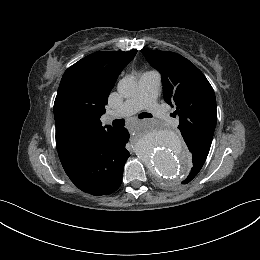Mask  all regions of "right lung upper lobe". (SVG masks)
I'll list each match as a JSON object with an SVG mask.
<instances>
[{
    "label": "right lung upper lobe",
    "instance_id": "1",
    "mask_svg": "<svg viewBox=\"0 0 260 260\" xmlns=\"http://www.w3.org/2000/svg\"><path fill=\"white\" fill-rule=\"evenodd\" d=\"M137 50L98 51L70 66L64 73L54 102L56 147L61 161L90 141L113 131L102 126L110 91L118 75Z\"/></svg>",
    "mask_w": 260,
    "mask_h": 260
}]
</instances>
